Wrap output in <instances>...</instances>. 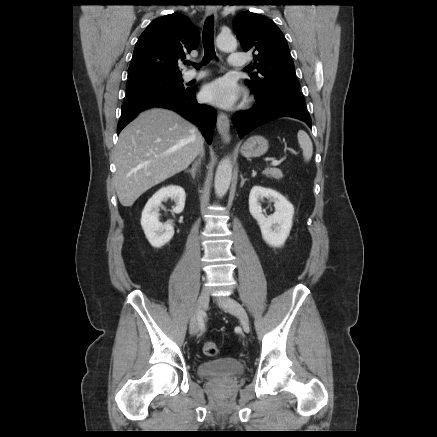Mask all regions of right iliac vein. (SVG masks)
<instances>
[{"instance_id": "63e3f726", "label": "right iliac vein", "mask_w": 437, "mask_h": 437, "mask_svg": "<svg viewBox=\"0 0 437 437\" xmlns=\"http://www.w3.org/2000/svg\"><path fill=\"white\" fill-rule=\"evenodd\" d=\"M208 304H209V294L208 292L203 291L197 299L195 313L190 321L189 329L192 335H196L199 332L200 322L198 320V315L202 314L206 310Z\"/></svg>"}]
</instances>
